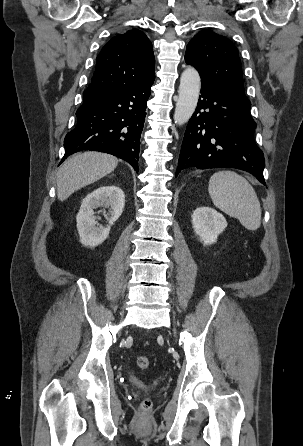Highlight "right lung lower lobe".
Segmentation results:
<instances>
[{"label": "right lung lower lobe", "instance_id": "obj_1", "mask_svg": "<svg viewBox=\"0 0 303 446\" xmlns=\"http://www.w3.org/2000/svg\"><path fill=\"white\" fill-rule=\"evenodd\" d=\"M153 82L154 78L84 101L76 112V127L65 137L61 162L82 150L100 151L127 161L138 172L140 137Z\"/></svg>", "mask_w": 303, "mask_h": 446}]
</instances>
